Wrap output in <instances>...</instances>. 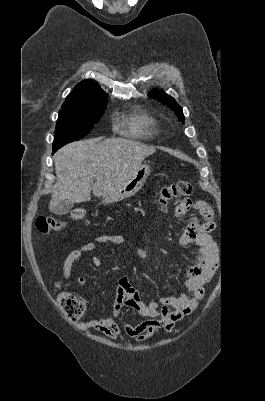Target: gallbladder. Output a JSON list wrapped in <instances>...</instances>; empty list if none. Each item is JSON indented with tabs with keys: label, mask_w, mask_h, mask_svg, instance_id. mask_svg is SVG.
<instances>
[{
	"label": "gallbladder",
	"mask_w": 265,
	"mask_h": 401,
	"mask_svg": "<svg viewBox=\"0 0 265 401\" xmlns=\"http://www.w3.org/2000/svg\"><path fill=\"white\" fill-rule=\"evenodd\" d=\"M72 207H74L72 201H62V203H59L57 207H50V211L51 213H54V215H66Z\"/></svg>",
	"instance_id": "obj_1"
}]
</instances>
